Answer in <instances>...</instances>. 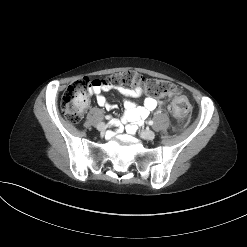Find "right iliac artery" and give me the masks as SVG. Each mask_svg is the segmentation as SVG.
<instances>
[{"instance_id": "right-iliac-artery-1", "label": "right iliac artery", "mask_w": 247, "mask_h": 247, "mask_svg": "<svg viewBox=\"0 0 247 247\" xmlns=\"http://www.w3.org/2000/svg\"><path fill=\"white\" fill-rule=\"evenodd\" d=\"M105 118L108 120L109 118H112V117L110 115H107Z\"/></svg>"}]
</instances>
